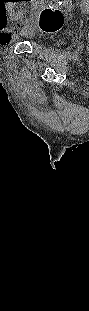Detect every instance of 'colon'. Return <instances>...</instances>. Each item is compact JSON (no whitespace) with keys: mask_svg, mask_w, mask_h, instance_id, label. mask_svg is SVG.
<instances>
[{"mask_svg":"<svg viewBox=\"0 0 89 311\" xmlns=\"http://www.w3.org/2000/svg\"><path fill=\"white\" fill-rule=\"evenodd\" d=\"M5 25H7V17L4 15L1 18ZM64 22V15L61 11L54 8H45L39 16V28L45 32H54L58 30ZM24 28L23 23H15L13 29L21 31Z\"/></svg>","mask_w":89,"mask_h":311,"instance_id":"colon-1","label":"colon"}]
</instances>
